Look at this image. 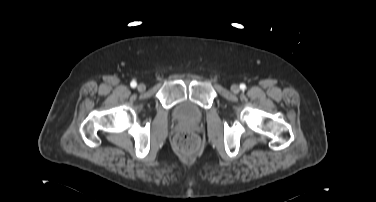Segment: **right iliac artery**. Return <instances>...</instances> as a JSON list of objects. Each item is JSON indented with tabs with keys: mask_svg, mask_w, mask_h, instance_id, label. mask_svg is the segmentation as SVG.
<instances>
[{
	"mask_svg": "<svg viewBox=\"0 0 376 202\" xmlns=\"http://www.w3.org/2000/svg\"><path fill=\"white\" fill-rule=\"evenodd\" d=\"M130 85H131L132 88H135V87L137 86V83H136V81H132V82L130 83Z\"/></svg>",
	"mask_w": 376,
	"mask_h": 202,
	"instance_id": "right-iliac-artery-1",
	"label": "right iliac artery"
}]
</instances>
